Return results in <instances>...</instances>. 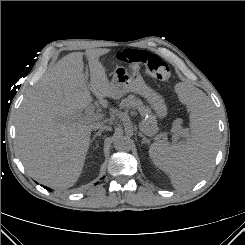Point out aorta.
<instances>
[{
  "instance_id": "1",
  "label": "aorta",
  "mask_w": 245,
  "mask_h": 245,
  "mask_svg": "<svg viewBox=\"0 0 245 245\" xmlns=\"http://www.w3.org/2000/svg\"><path fill=\"white\" fill-rule=\"evenodd\" d=\"M113 145L117 151L126 152V151L131 150L132 141H131L130 137H128V136L119 135L114 140Z\"/></svg>"
}]
</instances>
